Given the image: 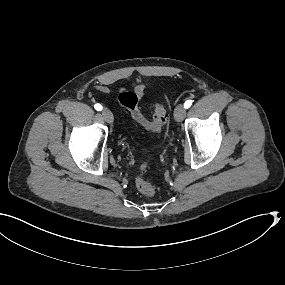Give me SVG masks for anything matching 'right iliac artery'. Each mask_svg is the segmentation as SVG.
Here are the masks:
<instances>
[{
  "instance_id": "right-iliac-artery-1",
  "label": "right iliac artery",
  "mask_w": 285,
  "mask_h": 285,
  "mask_svg": "<svg viewBox=\"0 0 285 285\" xmlns=\"http://www.w3.org/2000/svg\"><path fill=\"white\" fill-rule=\"evenodd\" d=\"M94 108L97 110V111H101L102 110V105L100 104H95Z\"/></svg>"
}]
</instances>
